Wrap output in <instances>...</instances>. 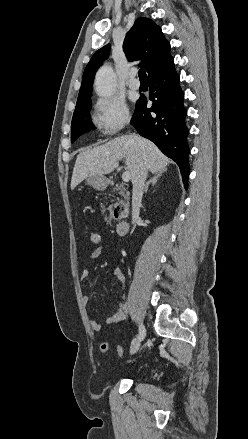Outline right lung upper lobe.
Listing matches in <instances>:
<instances>
[{
    "label": "right lung upper lobe",
    "instance_id": "cb5924a9",
    "mask_svg": "<svg viewBox=\"0 0 248 439\" xmlns=\"http://www.w3.org/2000/svg\"><path fill=\"white\" fill-rule=\"evenodd\" d=\"M110 45L97 50L87 64L82 78L76 108L90 100L92 83L99 65L108 57ZM123 49L129 61L142 60L148 75L159 71L173 63L170 55V43L164 37L161 28L152 20L138 18L128 31Z\"/></svg>",
    "mask_w": 248,
    "mask_h": 439
}]
</instances>
